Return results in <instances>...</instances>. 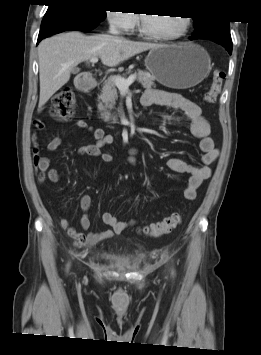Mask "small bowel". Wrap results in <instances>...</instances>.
<instances>
[{
	"instance_id": "small-bowel-1",
	"label": "small bowel",
	"mask_w": 261,
	"mask_h": 355,
	"mask_svg": "<svg viewBox=\"0 0 261 355\" xmlns=\"http://www.w3.org/2000/svg\"><path fill=\"white\" fill-rule=\"evenodd\" d=\"M141 103L144 106L162 105L171 108L182 110L191 121V134L199 140V149L201 151L200 165H192L184 159L177 156H170L166 160V166L175 172H186L190 175L185 188L184 197L187 200L196 198L197 189L211 175L210 165L217 159L218 151L214 146L213 140L209 136L210 126L206 118L202 114L201 107L194 101L189 100L179 94L170 93L158 89H147L141 98ZM76 127L81 131H88L95 139V143L83 145L78 149V154L100 157L104 162H111L112 156L108 153H103L102 149L114 142V136L105 134L100 128H94L83 120L75 122ZM35 131L32 135L33 140V163L35 170L38 172V182L44 184L46 182L57 183L60 180V173L52 168L50 160L42 154V147L37 141L38 131L44 128L42 121H35ZM61 138L54 137L47 143V150L55 151L61 145ZM138 149L131 147L129 150V163L136 165V155ZM92 204L91 196L88 194L81 195L79 206L83 211L80 219V226L83 230H87L91 225L89 210ZM102 221L109 229L100 232H80L76 227L71 226L68 220L61 214L60 224L67 234L76 242L85 245H94L100 241L111 237L113 234L121 233L129 227L136 224V220L121 221L112 213L106 212L102 215Z\"/></svg>"
}]
</instances>
